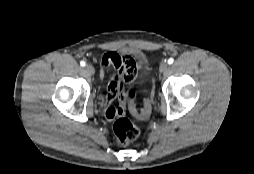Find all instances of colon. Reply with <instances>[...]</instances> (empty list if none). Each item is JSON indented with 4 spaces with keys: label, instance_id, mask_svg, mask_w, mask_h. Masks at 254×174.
Here are the masks:
<instances>
[{
    "label": "colon",
    "instance_id": "1",
    "mask_svg": "<svg viewBox=\"0 0 254 174\" xmlns=\"http://www.w3.org/2000/svg\"><path fill=\"white\" fill-rule=\"evenodd\" d=\"M125 94L128 99V109L132 115L139 119L149 117L151 113V102L149 99L145 100L143 109L138 111L134 103L136 97V90L134 87H127ZM125 112L126 107L124 104H121L114 110V113L118 119L114 122L113 131L117 142L121 145L129 144L137 139L140 134L139 128L134 123L124 118Z\"/></svg>",
    "mask_w": 254,
    "mask_h": 174
}]
</instances>
